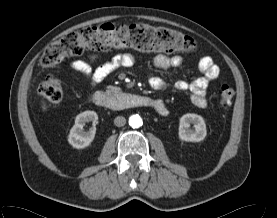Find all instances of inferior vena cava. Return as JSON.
Wrapping results in <instances>:
<instances>
[{"instance_id": "obj_1", "label": "inferior vena cava", "mask_w": 277, "mask_h": 218, "mask_svg": "<svg viewBox=\"0 0 277 218\" xmlns=\"http://www.w3.org/2000/svg\"><path fill=\"white\" fill-rule=\"evenodd\" d=\"M114 124L117 126V127H122L126 124V119L125 117L123 116H117L115 119H114Z\"/></svg>"}]
</instances>
